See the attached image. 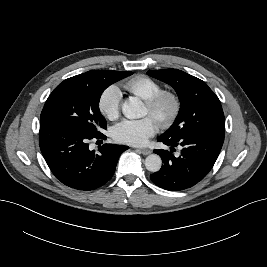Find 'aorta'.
I'll return each mask as SVG.
<instances>
[{
	"label": "aorta",
	"instance_id": "762f6f07",
	"mask_svg": "<svg viewBox=\"0 0 267 267\" xmlns=\"http://www.w3.org/2000/svg\"><path fill=\"white\" fill-rule=\"evenodd\" d=\"M122 113L129 119L141 118L145 115L144 104L136 97H132L122 104ZM162 160L157 154H150L145 159V167L150 172H158L161 169Z\"/></svg>",
	"mask_w": 267,
	"mask_h": 267
}]
</instances>
